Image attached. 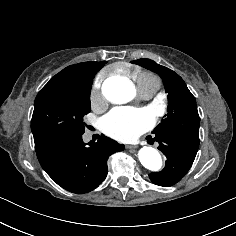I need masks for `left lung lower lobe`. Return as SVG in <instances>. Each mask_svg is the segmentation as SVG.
I'll return each mask as SVG.
<instances>
[{"label":"left lung lower lobe","instance_id":"1","mask_svg":"<svg viewBox=\"0 0 236 236\" xmlns=\"http://www.w3.org/2000/svg\"><path fill=\"white\" fill-rule=\"evenodd\" d=\"M158 149L167 158L165 168L161 172L149 174L150 180L159 186L169 187L179 182L189 171L199 147V137L177 132H164L154 138Z\"/></svg>","mask_w":236,"mask_h":236}]
</instances>
